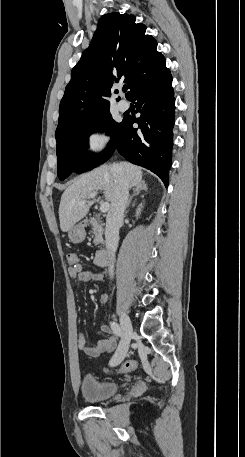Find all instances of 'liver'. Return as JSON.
I'll use <instances>...</instances> for the list:
<instances>
[{
	"label": "liver",
	"mask_w": 245,
	"mask_h": 457,
	"mask_svg": "<svg viewBox=\"0 0 245 457\" xmlns=\"http://www.w3.org/2000/svg\"><path fill=\"white\" fill-rule=\"evenodd\" d=\"M112 166H121L129 186H138L142 182L141 166L131 164V162H118V164H102L98 168H94L87 174H81L79 178L72 180V184L67 186L61 196L59 206V218L61 231L67 233L71 226H74L78 220L86 216L91 204L94 200H86L89 192H97L104 190L106 200H113L115 192L114 176L112 174Z\"/></svg>",
	"instance_id": "6515ba94"
}]
</instances>
